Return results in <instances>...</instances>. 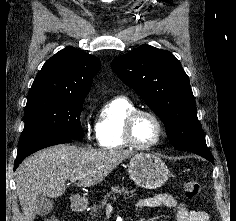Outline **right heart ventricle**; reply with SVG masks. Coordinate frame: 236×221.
<instances>
[{
  "label": "right heart ventricle",
  "mask_w": 236,
  "mask_h": 221,
  "mask_svg": "<svg viewBox=\"0 0 236 221\" xmlns=\"http://www.w3.org/2000/svg\"><path fill=\"white\" fill-rule=\"evenodd\" d=\"M136 105L126 96H116L108 100L100 109L95 133L98 144L106 150H121L128 148L123 135L126 117Z\"/></svg>",
  "instance_id": "obj_1"
}]
</instances>
